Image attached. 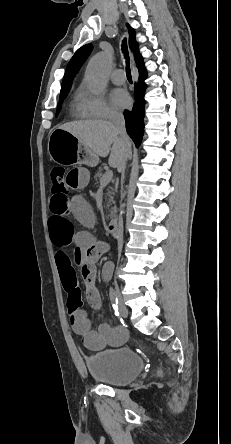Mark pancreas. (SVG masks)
Masks as SVG:
<instances>
[{
  "label": "pancreas",
  "mask_w": 231,
  "mask_h": 444,
  "mask_svg": "<svg viewBox=\"0 0 231 444\" xmlns=\"http://www.w3.org/2000/svg\"><path fill=\"white\" fill-rule=\"evenodd\" d=\"M103 175H104V173H103V169H102V168H99V169L97 170V172H96L95 179H96V180H101V178L103 177Z\"/></svg>",
  "instance_id": "1"
}]
</instances>
